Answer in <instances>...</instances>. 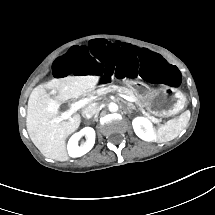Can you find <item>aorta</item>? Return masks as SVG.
I'll use <instances>...</instances> for the list:
<instances>
[{
	"label": "aorta",
	"mask_w": 215,
	"mask_h": 215,
	"mask_svg": "<svg viewBox=\"0 0 215 215\" xmlns=\"http://www.w3.org/2000/svg\"><path fill=\"white\" fill-rule=\"evenodd\" d=\"M108 109H109L110 112H117L119 107H118V105L116 103L111 102L108 105Z\"/></svg>",
	"instance_id": "aorta-1"
}]
</instances>
